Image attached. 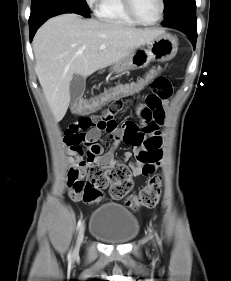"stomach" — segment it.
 <instances>
[{"label":"stomach","mask_w":231,"mask_h":281,"mask_svg":"<svg viewBox=\"0 0 231 281\" xmlns=\"http://www.w3.org/2000/svg\"><path fill=\"white\" fill-rule=\"evenodd\" d=\"M177 50L176 39L163 33L115 63L112 69L116 72L137 70L147 67L152 61H169L176 55Z\"/></svg>","instance_id":"stomach-1"}]
</instances>
